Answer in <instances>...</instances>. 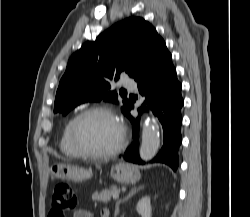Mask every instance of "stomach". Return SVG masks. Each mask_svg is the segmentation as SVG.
<instances>
[{"mask_svg": "<svg viewBox=\"0 0 250 217\" xmlns=\"http://www.w3.org/2000/svg\"><path fill=\"white\" fill-rule=\"evenodd\" d=\"M54 178L62 180L82 181L92 177V171L69 164H55L51 168ZM111 176L119 183H135L140 179L139 170L127 163H119L112 167Z\"/></svg>", "mask_w": 250, "mask_h": 217, "instance_id": "stomach-1", "label": "stomach"}]
</instances>
